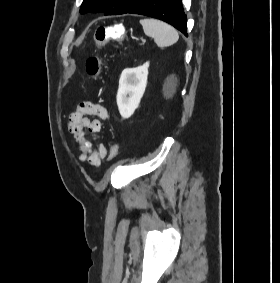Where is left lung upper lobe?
I'll return each mask as SVG.
<instances>
[{
  "label": "left lung upper lobe",
  "mask_w": 280,
  "mask_h": 283,
  "mask_svg": "<svg viewBox=\"0 0 280 283\" xmlns=\"http://www.w3.org/2000/svg\"><path fill=\"white\" fill-rule=\"evenodd\" d=\"M143 0H83L81 13L103 12L105 15L125 14Z\"/></svg>",
  "instance_id": "obj_1"
}]
</instances>
